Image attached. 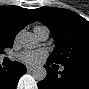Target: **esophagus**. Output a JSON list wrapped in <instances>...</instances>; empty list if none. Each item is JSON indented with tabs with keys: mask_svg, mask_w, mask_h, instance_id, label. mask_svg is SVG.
<instances>
[{
	"mask_svg": "<svg viewBox=\"0 0 89 89\" xmlns=\"http://www.w3.org/2000/svg\"><path fill=\"white\" fill-rule=\"evenodd\" d=\"M27 71L28 72H32L33 71V68L31 66H27Z\"/></svg>",
	"mask_w": 89,
	"mask_h": 89,
	"instance_id": "obj_1",
	"label": "esophagus"
}]
</instances>
